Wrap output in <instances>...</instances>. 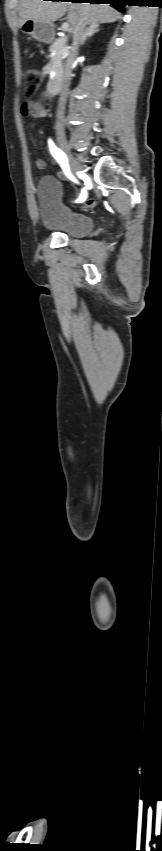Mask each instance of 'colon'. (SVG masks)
Listing matches in <instances>:
<instances>
[{"instance_id":"obj_1","label":"colon","mask_w":162,"mask_h":851,"mask_svg":"<svg viewBox=\"0 0 162 851\" xmlns=\"http://www.w3.org/2000/svg\"><path fill=\"white\" fill-rule=\"evenodd\" d=\"M24 80L26 85V91L30 94L36 92L40 84V75L36 70L28 69L24 71ZM83 207H90L95 205V199L90 198L81 203Z\"/></svg>"}]
</instances>
